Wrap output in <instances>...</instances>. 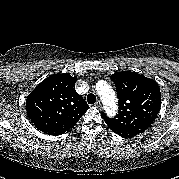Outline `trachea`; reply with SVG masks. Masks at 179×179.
Masks as SVG:
<instances>
[{"label":"trachea","mask_w":179,"mask_h":179,"mask_svg":"<svg viewBox=\"0 0 179 179\" xmlns=\"http://www.w3.org/2000/svg\"><path fill=\"white\" fill-rule=\"evenodd\" d=\"M95 101H96V96L94 94L90 93L87 95V102L89 104H94Z\"/></svg>","instance_id":"trachea-1"}]
</instances>
